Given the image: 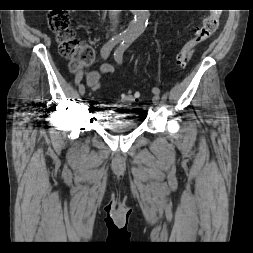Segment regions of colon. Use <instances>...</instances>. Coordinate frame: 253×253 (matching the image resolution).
<instances>
[{
  "instance_id": "colon-1",
  "label": "colon",
  "mask_w": 253,
  "mask_h": 253,
  "mask_svg": "<svg viewBox=\"0 0 253 253\" xmlns=\"http://www.w3.org/2000/svg\"><path fill=\"white\" fill-rule=\"evenodd\" d=\"M220 14L213 11L206 16L202 25L197 28L194 37L187 41L176 55V65L184 68L198 45L208 40L219 26ZM51 30L56 34L60 43V53L69 58L72 63V69L78 71L84 66L91 64L94 60L93 50L81 44L74 36L70 26V19L65 12H52L49 18ZM139 94L136 92H126L121 95V101L124 104L137 102Z\"/></svg>"
}]
</instances>
